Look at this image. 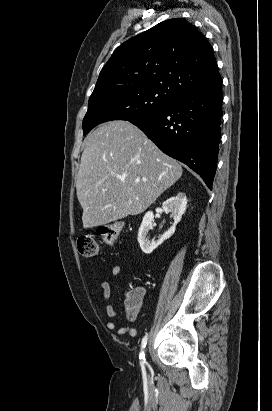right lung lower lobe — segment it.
<instances>
[{
  "instance_id": "right-lung-lower-lobe-1",
  "label": "right lung lower lobe",
  "mask_w": 272,
  "mask_h": 411,
  "mask_svg": "<svg viewBox=\"0 0 272 411\" xmlns=\"http://www.w3.org/2000/svg\"><path fill=\"white\" fill-rule=\"evenodd\" d=\"M222 80L214 87L175 99L162 111L131 121L160 150L198 173L212 189L222 117Z\"/></svg>"
}]
</instances>
